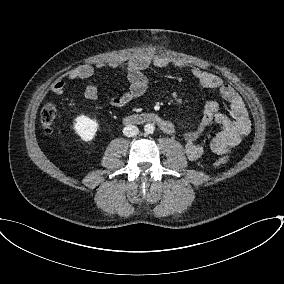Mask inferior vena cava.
<instances>
[{"mask_svg": "<svg viewBox=\"0 0 284 284\" xmlns=\"http://www.w3.org/2000/svg\"><path fill=\"white\" fill-rule=\"evenodd\" d=\"M139 129L134 125H127L123 128V134L127 137H134L138 135Z\"/></svg>", "mask_w": 284, "mask_h": 284, "instance_id": "1", "label": "inferior vena cava"}]
</instances>
